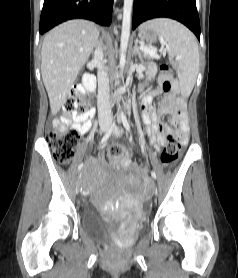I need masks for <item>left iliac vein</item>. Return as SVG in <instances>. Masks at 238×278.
I'll use <instances>...</instances> for the list:
<instances>
[{
    "mask_svg": "<svg viewBox=\"0 0 238 278\" xmlns=\"http://www.w3.org/2000/svg\"><path fill=\"white\" fill-rule=\"evenodd\" d=\"M113 134L116 136H119V135H121V131L117 127H115ZM158 188H159V185H156L155 196H158V194H159Z\"/></svg>",
    "mask_w": 238,
    "mask_h": 278,
    "instance_id": "4c4485c4",
    "label": "left iliac vein"
}]
</instances>
